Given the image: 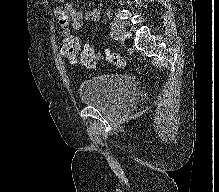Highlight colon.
Listing matches in <instances>:
<instances>
[{"mask_svg": "<svg viewBox=\"0 0 219 192\" xmlns=\"http://www.w3.org/2000/svg\"><path fill=\"white\" fill-rule=\"evenodd\" d=\"M60 52L63 56L69 58L73 62H77L83 66L92 68L95 66L98 58L103 61L113 64L122 69H129L127 61L120 55L104 51L100 55L91 46H86L79 50L77 37L74 35H67L60 45Z\"/></svg>", "mask_w": 219, "mask_h": 192, "instance_id": "5ec220e1", "label": "colon"}]
</instances>
